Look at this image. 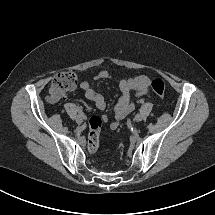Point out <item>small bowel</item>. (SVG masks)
Wrapping results in <instances>:
<instances>
[{"mask_svg": "<svg viewBox=\"0 0 215 215\" xmlns=\"http://www.w3.org/2000/svg\"><path fill=\"white\" fill-rule=\"evenodd\" d=\"M111 78L107 70H101L96 73L91 82L84 81L80 84V89L84 92L85 97L94 103L98 110H104L106 107L105 98L95 89V84L98 81H105ZM122 92L115 106V121L111 122L110 128L116 130L120 123L125 119L128 113L133 109L134 105L131 101V93L134 92L137 96L150 95V79L147 76L140 75L132 78H124L119 83ZM106 121L107 117L103 116Z\"/></svg>", "mask_w": 215, "mask_h": 215, "instance_id": "1", "label": "small bowel"}]
</instances>
